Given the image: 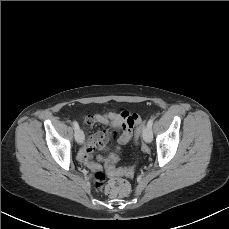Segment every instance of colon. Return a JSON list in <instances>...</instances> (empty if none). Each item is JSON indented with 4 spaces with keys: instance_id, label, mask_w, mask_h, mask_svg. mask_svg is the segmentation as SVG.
<instances>
[{
    "instance_id": "1",
    "label": "colon",
    "mask_w": 229,
    "mask_h": 229,
    "mask_svg": "<svg viewBox=\"0 0 229 229\" xmlns=\"http://www.w3.org/2000/svg\"><path fill=\"white\" fill-rule=\"evenodd\" d=\"M130 125L135 128L136 139L140 140L142 125L139 116H135ZM129 174L132 170L128 171ZM106 180V175L103 171L99 170L95 173V184L99 187L103 186ZM106 193L114 199H123L130 194V184L123 178H113L106 184Z\"/></svg>"
}]
</instances>
